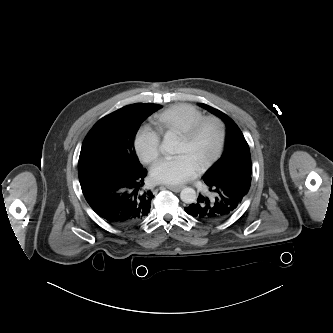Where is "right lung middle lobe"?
<instances>
[{
	"label": "right lung middle lobe",
	"mask_w": 333,
	"mask_h": 333,
	"mask_svg": "<svg viewBox=\"0 0 333 333\" xmlns=\"http://www.w3.org/2000/svg\"><path fill=\"white\" fill-rule=\"evenodd\" d=\"M160 107L136 103L100 119L83 141L78 169L93 165L124 172L142 170L134 149V135L140 124Z\"/></svg>",
	"instance_id": "right-lung-middle-lobe-1"
}]
</instances>
